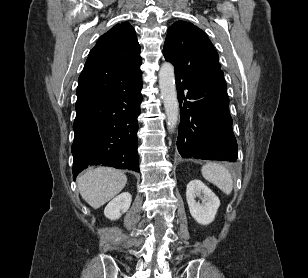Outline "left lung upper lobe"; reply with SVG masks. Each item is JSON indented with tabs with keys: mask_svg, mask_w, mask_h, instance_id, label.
<instances>
[{
	"mask_svg": "<svg viewBox=\"0 0 308 278\" xmlns=\"http://www.w3.org/2000/svg\"><path fill=\"white\" fill-rule=\"evenodd\" d=\"M163 54L174 65L176 77L192 79L221 70L213 44L190 22L178 21L169 27Z\"/></svg>",
	"mask_w": 308,
	"mask_h": 278,
	"instance_id": "left-lung-upper-lobe-1",
	"label": "left lung upper lobe"
}]
</instances>
